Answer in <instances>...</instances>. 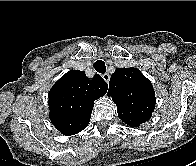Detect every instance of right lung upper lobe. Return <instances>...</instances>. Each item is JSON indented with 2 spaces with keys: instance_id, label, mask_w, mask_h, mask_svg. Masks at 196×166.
I'll return each mask as SVG.
<instances>
[{
  "instance_id": "cb5924a9",
  "label": "right lung upper lobe",
  "mask_w": 196,
  "mask_h": 166,
  "mask_svg": "<svg viewBox=\"0 0 196 166\" xmlns=\"http://www.w3.org/2000/svg\"><path fill=\"white\" fill-rule=\"evenodd\" d=\"M107 89L108 84L98 74L90 79L83 71H68L49 92L51 122L66 136L79 133L90 121L94 101Z\"/></svg>"
}]
</instances>
